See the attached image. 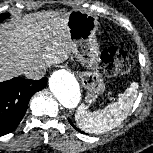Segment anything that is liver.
<instances>
[{
  "label": "liver",
  "instance_id": "1",
  "mask_svg": "<svg viewBox=\"0 0 153 153\" xmlns=\"http://www.w3.org/2000/svg\"><path fill=\"white\" fill-rule=\"evenodd\" d=\"M70 53L67 18L47 21L40 13L24 16L16 24L0 27V81L18 76L33 63L62 62Z\"/></svg>",
  "mask_w": 153,
  "mask_h": 153
}]
</instances>
